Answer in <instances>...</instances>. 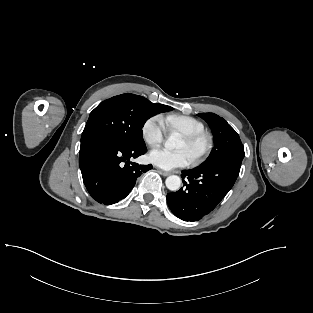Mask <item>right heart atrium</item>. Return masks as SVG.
Wrapping results in <instances>:
<instances>
[{"mask_svg": "<svg viewBox=\"0 0 313 313\" xmlns=\"http://www.w3.org/2000/svg\"><path fill=\"white\" fill-rule=\"evenodd\" d=\"M165 126L160 116L148 118L142 126V137L150 147H158L164 141Z\"/></svg>", "mask_w": 313, "mask_h": 313, "instance_id": "obj_1", "label": "right heart atrium"}]
</instances>
